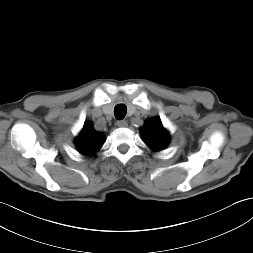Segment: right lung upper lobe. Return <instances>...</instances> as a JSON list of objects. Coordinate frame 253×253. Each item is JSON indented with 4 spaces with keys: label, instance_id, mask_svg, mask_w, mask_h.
Here are the masks:
<instances>
[{
    "label": "right lung upper lobe",
    "instance_id": "cb5924a9",
    "mask_svg": "<svg viewBox=\"0 0 253 253\" xmlns=\"http://www.w3.org/2000/svg\"><path fill=\"white\" fill-rule=\"evenodd\" d=\"M105 142V136L102 132L95 131L91 123L86 122L83 129L76 139L75 143L84 155H93Z\"/></svg>",
    "mask_w": 253,
    "mask_h": 253
}]
</instances>
